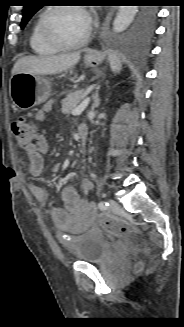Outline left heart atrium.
<instances>
[{
  "label": "left heart atrium",
  "instance_id": "left-heart-atrium-1",
  "mask_svg": "<svg viewBox=\"0 0 184 327\" xmlns=\"http://www.w3.org/2000/svg\"><path fill=\"white\" fill-rule=\"evenodd\" d=\"M86 16H87V19H88V21H89V16L86 14Z\"/></svg>",
  "mask_w": 184,
  "mask_h": 327
}]
</instances>
